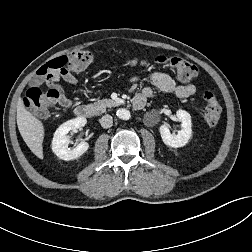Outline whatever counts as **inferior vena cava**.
<instances>
[{
    "instance_id": "1",
    "label": "inferior vena cava",
    "mask_w": 252,
    "mask_h": 252,
    "mask_svg": "<svg viewBox=\"0 0 252 252\" xmlns=\"http://www.w3.org/2000/svg\"><path fill=\"white\" fill-rule=\"evenodd\" d=\"M100 124L103 128H110L113 124V118L111 115H104L100 120Z\"/></svg>"
}]
</instances>
